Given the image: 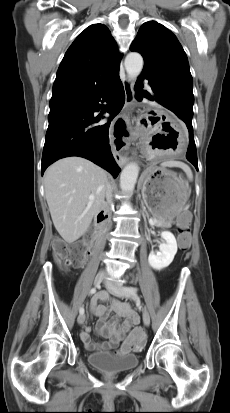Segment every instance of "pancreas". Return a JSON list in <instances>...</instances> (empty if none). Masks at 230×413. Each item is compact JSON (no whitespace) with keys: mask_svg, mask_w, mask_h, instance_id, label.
Returning a JSON list of instances; mask_svg holds the SVG:
<instances>
[{"mask_svg":"<svg viewBox=\"0 0 230 413\" xmlns=\"http://www.w3.org/2000/svg\"><path fill=\"white\" fill-rule=\"evenodd\" d=\"M172 223H173L172 220L156 221L157 226L165 227V228H170L172 226Z\"/></svg>","mask_w":230,"mask_h":413,"instance_id":"pancreas-1","label":"pancreas"}]
</instances>
